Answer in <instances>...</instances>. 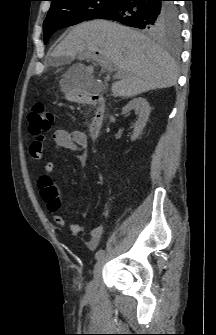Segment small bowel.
<instances>
[{
	"mask_svg": "<svg viewBox=\"0 0 216 335\" xmlns=\"http://www.w3.org/2000/svg\"><path fill=\"white\" fill-rule=\"evenodd\" d=\"M54 142L65 149L78 152L82 156L86 155L88 148V139L83 131H69L65 129H57L53 133ZM46 139L44 137L35 138L29 146V155L32 159H40L42 157ZM55 165L52 161L45 163L43 174L40 176L38 186L42 200L47 205L49 212L53 215V219L59 226L65 225V219L62 215L57 213V206L53 200L46 201L43 197V191L51 187V176L54 172ZM83 230L79 224H70V231L72 234H78ZM103 225L94 227L90 232V239L87 242L89 249H94L98 243L99 238L103 234Z\"/></svg>",
	"mask_w": 216,
	"mask_h": 335,
	"instance_id": "c3829d8e",
	"label": "small bowel"
}]
</instances>
